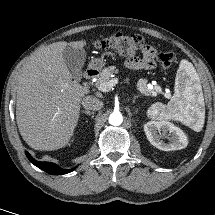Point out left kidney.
<instances>
[{"mask_svg":"<svg viewBox=\"0 0 215 215\" xmlns=\"http://www.w3.org/2000/svg\"><path fill=\"white\" fill-rule=\"evenodd\" d=\"M144 131L149 142L163 151L180 150L188 144L185 133L167 120L150 121L144 125ZM166 137L168 143L163 140Z\"/></svg>","mask_w":215,"mask_h":215,"instance_id":"5707ae66","label":"left kidney"}]
</instances>
